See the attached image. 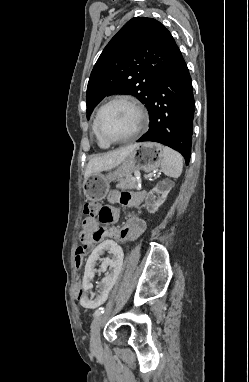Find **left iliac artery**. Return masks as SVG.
Segmentation results:
<instances>
[{"mask_svg":"<svg viewBox=\"0 0 249 382\" xmlns=\"http://www.w3.org/2000/svg\"><path fill=\"white\" fill-rule=\"evenodd\" d=\"M104 308L103 307H100L99 309H97L94 313V316H98V315H101L104 313Z\"/></svg>","mask_w":249,"mask_h":382,"instance_id":"obj_1","label":"left iliac artery"}]
</instances>
